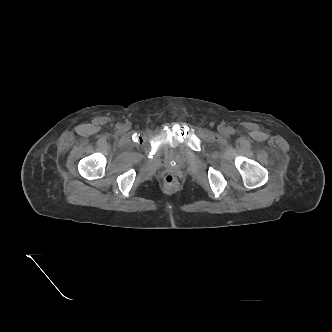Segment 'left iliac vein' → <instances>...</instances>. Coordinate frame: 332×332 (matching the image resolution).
Returning a JSON list of instances; mask_svg holds the SVG:
<instances>
[{
    "label": "left iliac vein",
    "instance_id": "1",
    "mask_svg": "<svg viewBox=\"0 0 332 332\" xmlns=\"http://www.w3.org/2000/svg\"><path fill=\"white\" fill-rule=\"evenodd\" d=\"M220 132L222 133V134H225L226 133V129L224 128V127H220Z\"/></svg>",
    "mask_w": 332,
    "mask_h": 332
}]
</instances>
